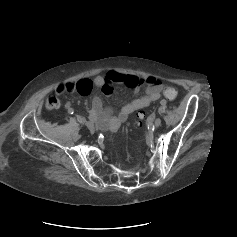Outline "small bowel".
I'll use <instances>...</instances> for the list:
<instances>
[{
	"label": "small bowel",
	"instance_id": "c3829d8e",
	"mask_svg": "<svg viewBox=\"0 0 237 237\" xmlns=\"http://www.w3.org/2000/svg\"><path fill=\"white\" fill-rule=\"evenodd\" d=\"M113 84H124L133 88L135 91H138L142 85H145L146 91L144 96L136 98L122 106L114 116L111 115L109 108H104L102 100L98 96L92 99L90 117L112 131L117 130L121 123L124 122L132 112L144 108L158 100L163 87L162 81L153 76L139 78L134 75L109 71L104 76H96L93 79L85 78L77 82L58 85L55 88V93L62 95L65 92H78L82 95H88L94 88H97L100 89L103 94L111 95L113 93ZM69 106V103L65 104L66 108Z\"/></svg>",
	"mask_w": 237,
	"mask_h": 237
}]
</instances>
